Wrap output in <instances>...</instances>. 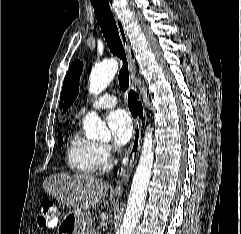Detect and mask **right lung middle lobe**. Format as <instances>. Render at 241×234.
Here are the masks:
<instances>
[{
    "label": "right lung middle lobe",
    "mask_w": 241,
    "mask_h": 234,
    "mask_svg": "<svg viewBox=\"0 0 241 234\" xmlns=\"http://www.w3.org/2000/svg\"><path fill=\"white\" fill-rule=\"evenodd\" d=\"M62 143H63V138H62L61 133L59 132V133H58V146L61 147V146H62Z\"/></svg>",
    "instance_id": "1"
}]
</instances>
